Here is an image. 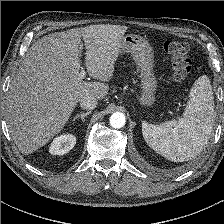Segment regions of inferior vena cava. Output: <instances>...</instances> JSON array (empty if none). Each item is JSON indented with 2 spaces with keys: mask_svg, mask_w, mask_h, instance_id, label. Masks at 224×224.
Here are the masks:
<instances>
[{
  "mask_svg": "<svg viewBox=\"0 0 224 224\" xmlns=\"http://www.w3.org/2000/svg\"><path fill=\"white\" fill-rule=\"evenodd\" d=\"M80 106L83 109L91 110L97 107V99L94 96H85L80 101Z\"/></svg>",
  "mask_w": 224,
  "mask_h": 224,
  "instance_id": "inferior-vena-cava-1",
  "label": "inferior vena cava"
}]
</instances>
